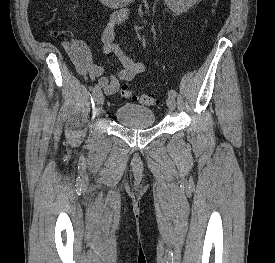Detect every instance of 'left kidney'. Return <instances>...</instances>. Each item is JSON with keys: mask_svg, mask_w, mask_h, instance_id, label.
I'll return each instance as SVG.
<instances>
[{"mask_svg": "<svg viewBox=\"0 0 275 263\" xmlns=\"http://www.w3.org/2000/svg\"><path fill=\"white\" fill-rule=\"evenodd\" d=\"M169 9L176 14L188 11L197 0H164Z\"/></svg>", "mask_w": 275, "mask_h": 263, "instance_id": "left-kidney-1", "label": "left kidney"}]
</instances>
